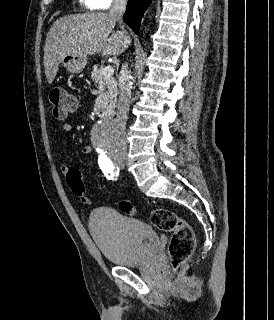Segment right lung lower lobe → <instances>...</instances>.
I'll use <instances>...</instances> for the list:
<instances>
[{
	"instance_id": "right-lung-lower-lobe-1",
	"label": "right lung lower lobe",
	"mask_w": 274,
	"mask_h": 320,
	"mask_svg": "<svg viewBox=\"0 0 274 320\" xmlns=\"http://www.w3.org/2000/svg\"><path fill=\"white\" fill-rule=\"evenodd\" d=\"M149 1L150 0H128L123 20L136 34L139 33L143 12L148 6Z\"/></svg>"
}]
</instances>
